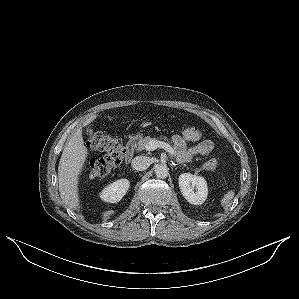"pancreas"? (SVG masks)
I'll list each match as a JSON object with an SVG mask.
<instances>
[{"label":"pancreas","instance_id":"cf45deb5","mask_svg":"<svg viewBox=\"0 0 299 299\" xmlns=\"http://www.w3.org/2000/svg\"><path fill=\"white\" fill-rule=\"evenodd\" d=\"M150 141H158L155 138H151L150 136H146L144 138H141L138 142H137V150L141 151L144 150L146 148V145L150 142ZM179 159V157H178Z\"/></svg>","mask_w":299,"mask_h":299}]
</instances>
